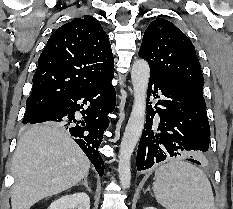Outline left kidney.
Returning <instances> with one entry per match:
<instances>
[{"mask_svg": "<svg viewBox=\"0 0 233 209\" xmlns=\"http://www.w3.org/2000/svg\"><path fill=\"white\" fill-rule=\"evenodd\" d=\"M144 209H156V208H154V207H146Z\"/></svg>", "mask_w": 233, "mask_h": 209, "instance_id": "5707ae66", "label": "left kidney"}]
</instances>
